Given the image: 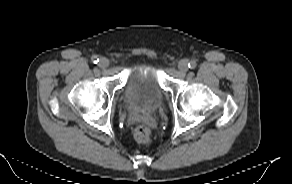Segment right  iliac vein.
<instances>
[{
	"mask_svg": "<svg viewBox=\"0 0 292 184\" xmlns=\"http://www.w3.org/2000/svg\"><path fill=\"white\" fill-rule=\"evenodd\" d=\"M98 65L101 68H106V67L109 66V60L107 58H105V57H102V58H100Z\"/></svg>",
	"mask_w": 292,
	"mask_h": 184,
	"instance_id": "right-iliac-vein-1",
	"label": "right iliac vein"
}]
</instances>
